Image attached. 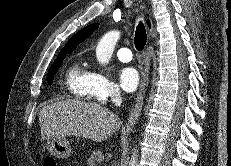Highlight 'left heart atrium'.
<instances>
[{"label": "left heart atrium", "mask_w": 231, "mask_h": 166, "mask_svg": "<svg viewBox=\"0 0 231 166\" xmlns=\"http://www.w3.org/2000/svg\"><path fill=\"white\" fill-rule=\"evenodd\" d=\"M119 83L124 91H134L139 83V75L136 69L132 67L122 68L119 73Z\"/></svg>", "instance_id": "left-heart-atrium-1"}]
</instances>
